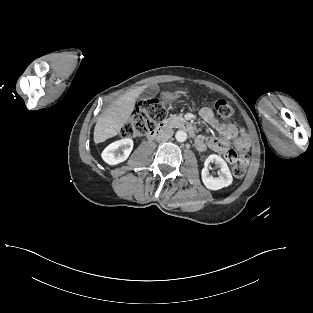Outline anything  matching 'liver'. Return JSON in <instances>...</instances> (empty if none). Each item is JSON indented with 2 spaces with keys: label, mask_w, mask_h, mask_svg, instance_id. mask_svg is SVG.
Instances as JSON below:
<instances>
[{
  "label": "liver",
  "mask_w": 313,
  "mask_h": 313,
  "mask_svg": "<svg viewBox=\"0 0 313 313\" xmlns=\"http://www.w3.org/2000/svg\"><path fill=\"white\" fill-rule=\"evenodd\" d=\"M146 85L125 93L114 101L100 116L94 128V142L101 143L116 136L126 124L134 109L136 99L146 89Z\"/></svg>",
  "instance_id": "obj_1"
}]
</instances>
